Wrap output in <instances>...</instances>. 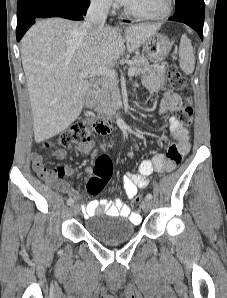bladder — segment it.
I'll return each mask as SVG.
<instances>
[{"mask_svg":"<svg viewBox=\"0 0 227 298\" xmlns=\"http://www.w3.org/2000/svg\"><path fill=\"white\" fill-rule=\"evenodd\" d=\"M88 234L103 244H116L131 239L136 231V225L128 219L105 220L89 219L85 223Z\"/></svg>","mask_w":227,"mask_h":298,"instance_id":"1","label":"bladder"}]
</instances>
